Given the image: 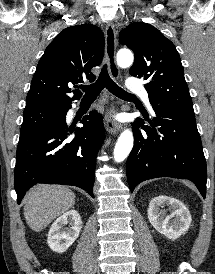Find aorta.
Instances as JSON below:
<instances>
[{
	"mask_svg": "<svg viewBox=\"0 0 215 274\" xmlns=\"http://www.w3.org/2000/svg\"><path fill=\"white\" fill-rule=\"evenodd\" d=\"M134 61L133 54L128 49H121L117 53V63L120 67L126 68L132 65ZM133 147V134L130 130H124L115 145L114 159L116 162H122L131 152Z\"/></svg>",
	"mask_w": 215,
	"mask_h": 274,
	"instance_id": "1",
	"label": "aorta"
}]
</instances>
